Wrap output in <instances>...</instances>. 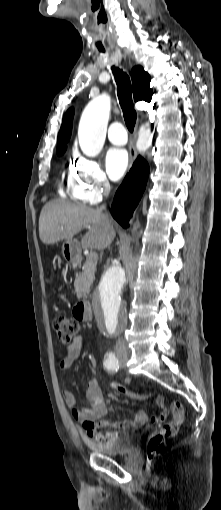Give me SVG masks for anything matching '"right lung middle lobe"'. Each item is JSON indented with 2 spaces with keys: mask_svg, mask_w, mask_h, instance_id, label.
Listing matches in <instances>:
<instances>
[{
  "mask_svg": "<svg viewBox=\"0 0 221 510\" xmlns=\"http://www.w3.org/2000/svg\"><path fill=\"white\" fill-rule=\"evenodd\" d=\"M64 151H65V150H64ZM64 151H58V152H57V154H58V155H61V154H63V153H64Z\"/></svg>",
  "mask_w": 221,
  "mask_h": 510,
  "instance_id": "right-lung-middle-lobe-1",
  "label": "right lung middle lobe"
}]
</instances>
